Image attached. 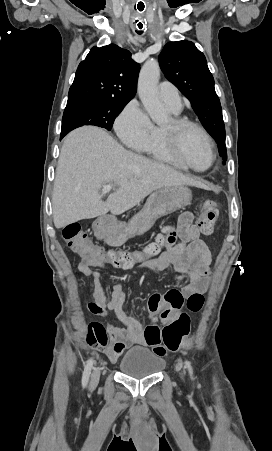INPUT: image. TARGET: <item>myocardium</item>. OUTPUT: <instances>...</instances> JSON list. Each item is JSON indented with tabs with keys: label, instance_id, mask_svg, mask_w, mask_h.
<instances>
[{
	"label": "myocardium",
	"instance_id": "obj_1",
	"mask_svg": "<svg viewBox=\"0 0 272 451\" xmlns=\"http://www.w3.org/2000/svg\"><path fill=\"white\" fill-rule=\"evenodd\" d=\"M190 129L197 131L201 135V137L203 138V140L211 154V162H210L209 166L207 167V169L202 170V171L191 169L189 166H187L183 162V159H182V155H183L182 133H183V131L190 130ZM162 138H163L164 142L171 143L172 150H173V152L176 153V156H177L176 158H178V160H180L181 168L184 171H186V172H203V171H207V170L211 169L215 165L217 154H216L214 145H213L209 135L207 134V132L198 124L191 122L185 118L173 117L171 119V127L165 126L163 128Z\"/></svg>",
	"mask_w": 272,
	"mask_h": 451
}]
</instances>
